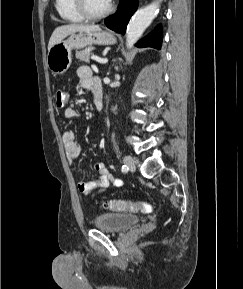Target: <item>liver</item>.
<instances>
[{"label": "liver", "instance_id": "obj_1", "mask_svg": "<svg viewBox=\"0 0 243 289\" xmlns=\"http://www.w3.org/2000/svg\"><path fill=\"white\" fill-rule=\"evenodd\" d=\"M101 30L98 25H85V24H68L57 27L49 40L48 51L57 43L62 41L65 37L72 33L80 31H99Z\"/></svg>", "mask_w": 243, "mask_h": 289}]
</instances>
